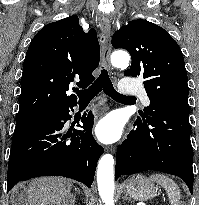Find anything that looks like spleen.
Returning <instances> with one entry per match:
<instances>
[{
  "label": "spleen",
  "mask_w": 199,
  "mask_h": 205,
  "mask_svg": "<svg viewBox=\"0 0 199 205\" xmlns=\"http://www.w3.org/2000/svg\"><path fill=\"white\" fill-rule=\"evenodd\" d=\"M150 180L156 182L157 184L161 185L169 198V201L173 205H178L179 200L181 198V193L178 185L169 177L163 175V174H152L150 176Z\"/></svg>",
  "instance_id": "spleen-1"
}]
</instances>
